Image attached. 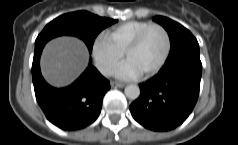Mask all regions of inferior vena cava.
Segmentation results:
<instances>
[{
	"mask_svg": "<svg viewBox=\"0 0 238 145\" xmlns=\"http://www.w3.org/2000/svg\"><path fill=\"white\" fill-rule=\"evenodd\" d=\"M100 71L105 76H110L112 74V69L109 67H102Z\"/></svg>",
	"mask_w": 238,
	"mask_h": 145,
	"instance_id": "obj_1",
	"label": "inferior vena cava"
}]
</instances>
